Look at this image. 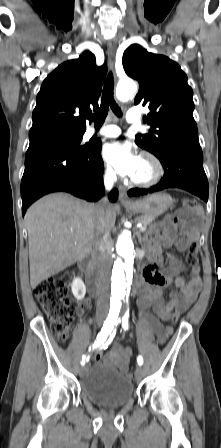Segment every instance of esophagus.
Here are the masks:
<instances>
[{"instance_id": "34e87169", "label": "esophagus", "mask_w": 221, "mask_h": 448, "mask_svg": "<svg viewBox=\"0 0 221 448\" xmlns=\"http://www.w3.org/2000/svg\"><path fill=\"white\" fill-rule=\"evenodd\" d=\"M116 48H117V45H116L115 39L110 40L108 42L107 52H108V57H109V60L112 64V66L114 65ZM120 202L121 203H130L131 202V200L126 195V188H124V187H121V189H120Z\"/></svg>"}]
</instances>
